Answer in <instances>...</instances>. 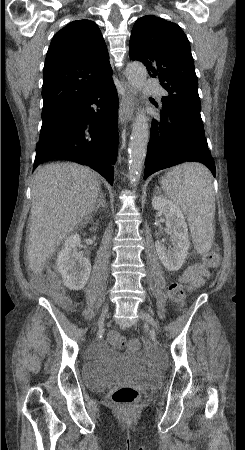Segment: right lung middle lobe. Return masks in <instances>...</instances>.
<instances>
[{"label":"right lung middle lobe","mask_w":245,"mask_h":450,"mask_svg":"<svg viewBox=\"0 0 245 450\" xmlns=\"http://www.w3.org/2000/svg\"><path fill=\"white\" fill-rule=\"evenodd\" d=\"M51 113V112H50ZM50 113H42V119L44 120L46 116H48Z\"/></svg>","instance_id":"1"}]
</instances>
